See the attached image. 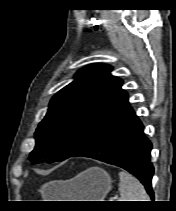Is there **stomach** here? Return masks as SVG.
Returning <instances> with one entry per match:
<instances>
[{
	"instance_id": "stomach-1",
	"label": "stomach",
	"mask_w": 176,
	"mask_h": 211,
	"mask_svg": "<svg viewBox=\"0 0 176 211\" xmlns=\"http://www.w3.org/2000/svg\"><path fill=\"white\" fill-rule=\"evenodd\" d=\"M111 177L103 169L89 168L70 181H54L44 186L48 196L58 201H104L111 189Z\"/></svg>"
}]
</instances>
